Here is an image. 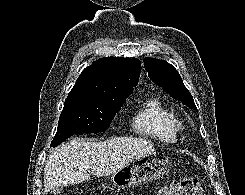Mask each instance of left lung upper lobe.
Segmentation results:
<instances>
[{"label": "left lung upper lobe", "instance_id": "left-lung-upper-lobe-1", "mask_svg": "<svg viewBox=\"0 0 245 195\" xmlns=\"http://www.w3.org/2000/svg\"><path fill=\"white\" fill-rule=\"evenodd\" d=\"M144 67L150 79L161 86L172 98L196 109L191 93L186 89L178 71L165 60L145 58Z\"/></svg>", "mask_w": 245, "mask_h": 195}]
</instances>
